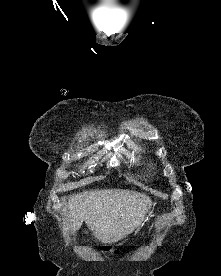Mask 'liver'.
<instances>
[{
	"label": "liver",
	"mask_w": 221,
	"mask_h": 276,
	"mask_svg": "<svg viewBox=\"0 0 221 276\" xmlns=\"http://www.w3.org/2000/svg\"><path fill=\"white\" fill-rule=\"evenodd\" d=\"M151 206L152 200L143 193L101 189L72 195L66 212L72 231H77L84 221L95 238L111 244L131 234Z\"/></svg>",
	"instance_id": "obj_1"
}]
</instances>
